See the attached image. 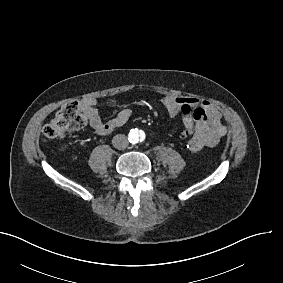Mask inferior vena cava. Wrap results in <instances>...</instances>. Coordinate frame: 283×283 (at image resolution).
Wrapping results in <instances>:
<instances>
[{"mask_svg":"<svg viewBox=\"0 0 283 283\" xmlns=\"http://www.w3.org/2000/svg\"><path fill=\"white\" fill-rule=\"evenodd\" d=\"M113 146L118 150H123L128 147V140L124 134H117L112 139Z\"/></svg>","mask_w":283,"mask_h":283,"instance_id":"1","label":"inferior vena cava"}]
</instances>
